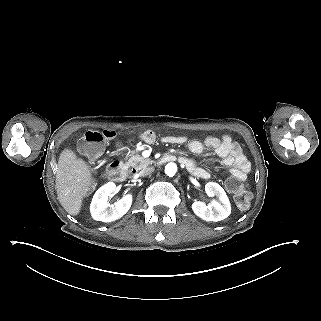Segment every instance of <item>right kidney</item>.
Returning <instances> with one entry per match:
<instances>
[{"label": "right kidney", "instance_id": "1", "mask_svg": "<svg viewBox=\"0 0 321 321\" xmlns=\"http://www.w3.org/2000/svg\"><path fill=\"white\" fill-rule=\"evenodd\" d=\"M117 192V186L114 182H107L98 189L93 197L90 209L93 219L102 222H113L123 217L131 208L133 195L127 193L115 204L108 202L112 193Z\"/></svg>", "mask_w": 321, "mask_h": 321}]
</instances>
